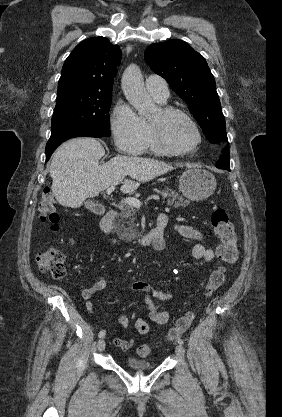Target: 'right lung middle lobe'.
<instances>
[{
    "label": "right lung middle lobe",
    "mask_w": 282,
    "mask_h": 417,
    "mask_svg": "<svg viewBox=\"0 0 282 417\" xmlns=\"http://www.w3.org/2000/svg\"><path fill=\"white\" fill-rule=\"evenodd\" d=\"M111 100V92L79 90L57 93L51 134L81 127L109 137Z\"/></svg>",
    "instance_id": "1"
}]
</instances>
